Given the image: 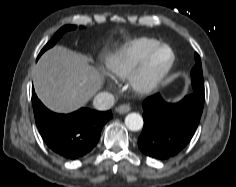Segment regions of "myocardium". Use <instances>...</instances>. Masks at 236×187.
<instances>
[{"mask_svg": "<svg viewBox=\"0 0 236 187\" xmlns=\"http://www.w3.org/2000/svg\"><path fill=\"white\" fill-rule=\"evenodd\" d=\"M164 49L169 51V58L161 66L155 67V57ZM175 59V52L171 46L167 44L157 45L144 57L135 71L131 74V89L138 95H150L156 92L172 70Z\"/></svg>", "mask_w": 236, "mask_h": 187, "instance_id": "myocardium-1", "label": "myocardium"}]
</instances>
